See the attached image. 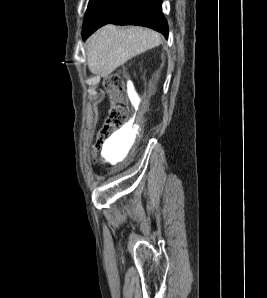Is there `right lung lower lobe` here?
Returning <instances> with one entry per match:
<instances>
[{"mask_svg": "<svg viewBox=\"0 0 267 298\" xmlns=\"http://www.w3.org/2000/svg\"><path fill=\"white\" fill-rule=\"evenodd\" d=\"M161 3L162 0H107L97 15L83 24V39L108 23L146 26L168 38V25Z\"/></svg>", "mask_w": 267, "mask_h": 298, "instance_id": "right-lung-lower-lobe-1", "label": "right lung lower lobe"}]
</instances>
